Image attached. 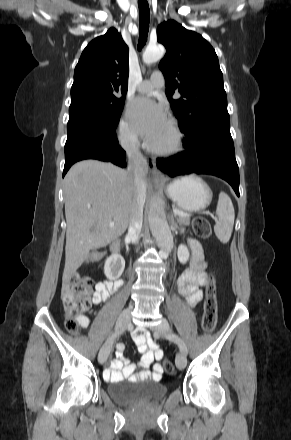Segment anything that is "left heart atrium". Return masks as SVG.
Instances as JSON below:
<instances>
[{
    "label": "left heart atrium",
    "mask_w": 291,
    "mask_h": 440,
    "mask_svg": "<svg viewBox=\"0 0 291 440\" xmlns=\"http://www.w3.org/2000/svg\"><path fill=\"white\" fill-rule=\"evenodd\" d=\"M129 118L137 133L149 142L155 140L169 125L164 107L147 96H140L132 101Z\"/></svg>",
    "instance_id": "left-heart-atrium-1"
}]
</instances>
